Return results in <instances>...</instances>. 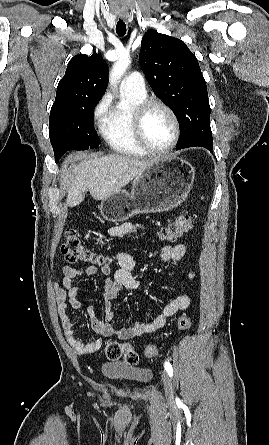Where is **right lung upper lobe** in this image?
<instances>
[{
	"mask_svg": "<svg viewBox=\"0 0 269 445\" xmlns=\"http://www.w3.org/2000/svg\"><path fill=\"white\" fill-rule=\"evenodd\" d=\"M108 66L96 53L74 56L57 86L55 102L100 99L107 88Z\"/></svg>",
	"mask_w": 269,
	"mask_h": 445,
	"instance_id": "cb5924a9",
	"label": "right lung upper lobe"
}]
</instances>
